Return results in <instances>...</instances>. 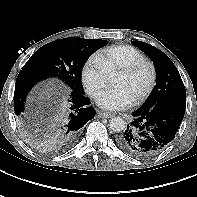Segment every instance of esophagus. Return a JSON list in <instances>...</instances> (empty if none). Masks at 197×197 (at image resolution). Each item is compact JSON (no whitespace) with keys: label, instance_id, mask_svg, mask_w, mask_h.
Masks as SVG:
<instances>
[{"label":"esophagus","instance_id":"esophagus-1","mask_svg":"<svg viewBox=\"0 0 197 197\" xmlns=\"http://www.w3.org/2000/svg\"><path fill=\"white\" fill-rule=\"evenodd\" d=\"M114 114L111 112H107V111H101L99 112V116L103 117V118H111Z\"/></svg>","mask_w":197,"mask_h":197}]
</instances>
